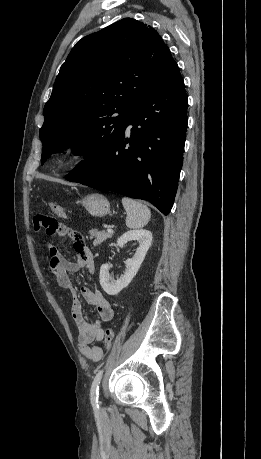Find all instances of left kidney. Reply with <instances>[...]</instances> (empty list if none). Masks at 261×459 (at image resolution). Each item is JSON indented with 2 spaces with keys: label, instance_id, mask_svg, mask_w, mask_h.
I'll use <instances>...</instances> for the list:
<instances>
[{
  "label": "left kidney",
  "instance_id": "1",
  "mask_svg": "<svg viewBox=\"0 0 261 459\" xmlns=\"http://www.w3.org/2000/svg\"><path fill=\"white\" fill-rule=\"evenodd\" d=\"M129 241H135L139 246L134 256L126 261L125 272L119 279L114 280L109 275V264H103L100 268V284L108 295H117L122 289L127 287L135 277L151 246L152 233L144 229L130 230L117 240V245L123 247Z\"/></svg>",
  "mask_w": 261,
  "mask_h": 459
}]
</instances>
